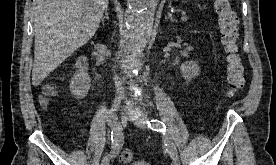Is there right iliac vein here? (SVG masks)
I'll list each match as a JSON object with an SVG mask.
<instances>
[{
    "mask_svg": "<svg viewBox=\"0 0 276 165\" xmlns=\"http://www.w3.org/2000/svg\"><path fill=\"white\" fill-rule=\"evenodd\" d=\"M120 107V102L118 101H114L110 110L108 111V116L111 118V119H117L118 120V117H117V110L118 108ZM109 154L105 155L101 161V165H109Z\"/></svg>",
    "mask_w": 276,
    "mask_h": 165,
    "instance_id": "right-iliac-vein-1",
    "label": "right iliac vein"
}]
</instances>
